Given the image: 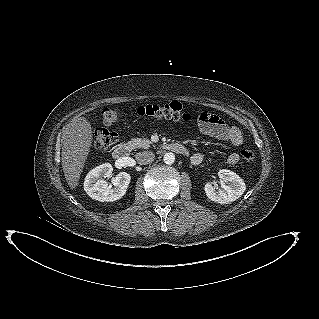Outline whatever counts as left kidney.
I'll list each match as a JSON object with an SVG mask.
<instances>
[{
	"mask_svg": "<svg viewBox=\"0 0 319 319\" xmlns=\"http://www.w3.org/2000/svg\"><path fill=\"white\" fill-rule=\"evenodd\" d=\"M218 176L222 180L221 189L214 187L212 182L205 185L206 195L211 201L228 204L243 195L246 185L239 175L233 171L221 169Z\"/></svg>",
	"mask_w": 319,
	"mask_h": 319,
	"instance_id": "5707ae66",
	"label": "left kidney"
}]
</instances>
